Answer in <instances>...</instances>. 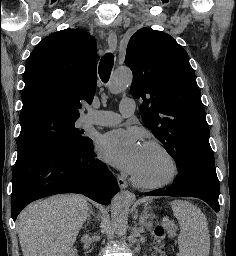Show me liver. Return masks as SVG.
Listing matches in <instances>:
<instances>
[{
	"label": "liver",
	"instance_id": "obj_1",
	"mask_svg": "<svg viewBox=\"0 0 236 256\" xmlns=\"http://www.w3.org/2000/svg\"><path fill=\"white\" fill-rule=\"evenodd\" d=\"M90 212L83 196H53L34 202L18 218L23 256H70Z\"/></svg>",
	"mask_w": 236,
	"mask_h": 256
}]
</instances>
